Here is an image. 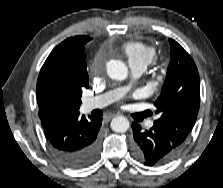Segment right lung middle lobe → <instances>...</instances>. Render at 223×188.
I'll use <instances>...</instances> for the list:
<instances>
[{"instance_id": "obj_1", "label": "right lung middle lobe", "mask_w": 223, "mask_h": 188, "mask_svg": "<svg viewBox=\"0 0 223 188\" xmlns=\"http://www.w3.org/2000/svg\"><path fill=\"white\" fill-rule=\"evenodd\" d=\"M81 95H82V88L80 87V88L76 91L75 96H74V98H73L74 101L76 102V104H77L78 106L81 105V100H80Z\"/></svg>"}]
</instances>
